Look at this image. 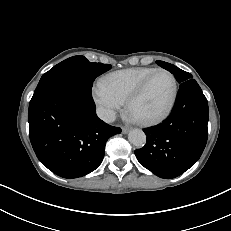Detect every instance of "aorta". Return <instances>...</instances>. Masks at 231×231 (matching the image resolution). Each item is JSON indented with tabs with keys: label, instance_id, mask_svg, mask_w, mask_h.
<instances>
[{
	"label": "aorta",
	"instance_id": "1",
	"mask_svg": "<svg viewBox=\"0 0 231 231\" xmlns=\"http://www.w3.org/2000/svg\"><path fill=\"white\" fill-rule=\"evenodd\" d=\"M128 140L136 147H142L146 143V135L140 129H133L128 134Z\"/></svg>",
	"mask_w": 231,
	"mask_h": 231
}]
</instances>
